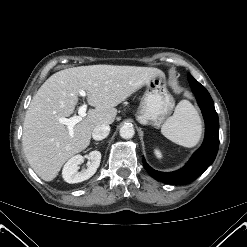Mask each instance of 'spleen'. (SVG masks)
<instances>
[{
	"instance_id": "obj_1",
	"label": "spleen",
	"mask_w": 247,
	"mask_h": 247,
	"mask_svg": "<svg viewBox=\"0 0 247 247\" xmlns=\"http://www.w3.org/2000/svg\"><path fill=\"white\" fill-rule=\"evenodd\" d=\"M161 133L172 142L191 148L198 144L202 125L197 110L188 100H182L174 114L161 127Z\"/></svg>"
}]
</instances>
